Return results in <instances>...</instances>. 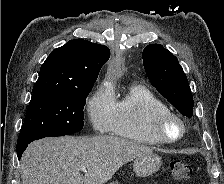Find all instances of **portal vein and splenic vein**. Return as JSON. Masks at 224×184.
<instances>
[{
  "mask_svg": "<svg viewBox=\"0 0 224 184\" xmlns=\"http://www.w3.org/2000/svg\"><path fill=\"white\" fill-rule=\"evenodd\" d=\"M80 170L83 171V172H86V168L85 167H81Z\"/></svg>",
  "mask_w": 224,
  "mask_h": 184,
  "instance_id": "18ae733b",
  "label": "portal vein and splenic vein"
}]
</instances>
